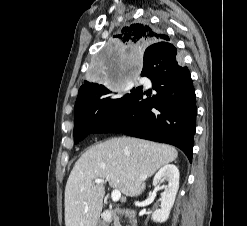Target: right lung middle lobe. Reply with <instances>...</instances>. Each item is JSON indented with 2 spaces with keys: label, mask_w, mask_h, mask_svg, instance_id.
<instances>
[{
  "label": "right lung middle lobe",
  "mask_w": 247,
  "mask_h": 226,
  "mask_svg": "<svg viewBox=\"0 0 247 226\" xmlns=\"http://www.w3.org/2000/svg\"><path fill=\"white\" fill-rule=\"evenodd\" d=\"M126 94L115 89L100 86L91 94L75 103L74 143L77 144L90 133L95 132L97 125L115 110L124 100Z\"/></svg>",
  "instance_id": "dd1d6c3e"
}]
</instances>
